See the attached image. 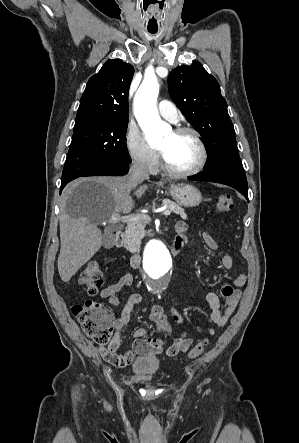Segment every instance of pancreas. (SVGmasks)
I'll list each match as a JSON object with an SVG mask.
<instances>
[{
	"instance_id": "1",
	"label": "pancreas",
	"mask_w": 299,
	"mask_h": 443,
	"mask_svg": "<svg viewBox=\"0 0 299 443\" xmlns=\"http://www.w3.org/2000/svg\"><path fill=\"white\" fill-rule=\"evenodd\" d=\"M162 205L167 206L168 209L174 212L175 214H179L181 218L183 219L187 218L184 209L180 207L177 203L169 199H164L162 201ZM148 222L149 220H138L131 224H128V227L126 228L125 233L122 236L124 247L128 251L132 253L139 252L141 240L145 235L144 228Z\"/></svg>"
}]
</instances>
